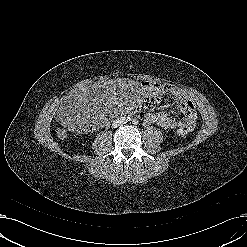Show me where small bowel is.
Returning a JSON list of instances; mask_svg holds the SVG:
<instances>
[{"mask_svg": "<svg viewBox=\"0 0 247 247\" xmlns=\"http://www.w3.org/2000/svg\"><path fill=\"white\" fill-rule=\"evenodd\" d=\"M150 84L159 85L163 94L169 95L177 102L182 118L178 120L171 117L167 112L161 111L148 113L146 116L147 120L166 129L187 128L188 131H191L196 123V113L193 102L178 87L172 84Z\"/></svg>", "mask_w": 247, "mask_h": 247, "instance_id": "c3829d8e", "label": "small bowel"}]
</instances>
